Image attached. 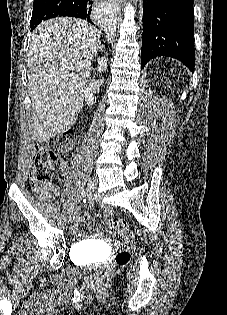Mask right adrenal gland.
Returning <instances> with one entry per match:
<instances>
[{
	"mask_svg": "<svg viewBox=\"0 0 227 315\" xmlns=\"http://www.w3.org/2000/svg\"><path fill=\"white\" fill-rule=\"evenodd\" d=\"M103 45H101V43H99V45H98V49H99V51H103Z\"/></svg>",
	"mask_w": 227,
	"mask_h": 315,
	"instance_id": "2a0ac1e0",
	"label": "right adrenal gland"
}]
</instances>
